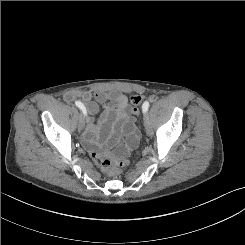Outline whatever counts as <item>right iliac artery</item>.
<instances>
[{
  "label": "right iliac artery",
  "instance_id": "obj_1",
  "mask_svg": "<svg viewBox=\"0 0 245 245\" xmlns=\"http://www.w3.org/2000/svg\"><path fill=\"white\" fill-rule=\"evenodd\" d=\"M75 105L83 112L84 115L87 114L86 108L80 101H76Z\"/></svg>",
  "mask_w": 245,
  "mask_h": 245
}]
</instances>
